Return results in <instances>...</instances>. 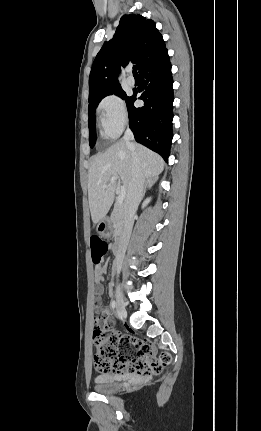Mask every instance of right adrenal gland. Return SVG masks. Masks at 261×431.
<instances>
[{"mask_svg":"<svg viewBox=\"0 0 261 431\" xmlns=\"http://www.w3.org/2000/svg\"><path fill=\"white\" fill-rule=\"evenodd\" d=\"M157 180H158V176H153V177L147 178L146 183H145V187H144L143 197L146 193V190L151 189L156 184Z\"/></svg>","mask_w":261,"mask_h":431,"instance_id":"obj_1","label":"right adrenal gland"}]
</instances>
